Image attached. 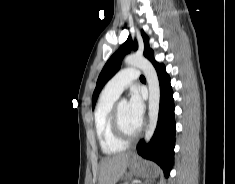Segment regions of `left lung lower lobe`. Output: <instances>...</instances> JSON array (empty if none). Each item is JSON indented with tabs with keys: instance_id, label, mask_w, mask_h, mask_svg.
Segmentation results:
<instances>
[{
	"instance_id": "left-lung-lower-lobe-1",
	"label": "left lung lower lobe",
	"mask_w": 235,
	"mask_h": 184,
	"mask_svg": "<svg viewBox=\"0 0 235 184\" xmlns=\"http://www.w3.org/2000/svg\"><path fill=\"white\" fill-rule=\"evenodd\" d=\"M150 61L157 71L160 84L159 116L152 139L148 144L141 140L137 146V152L142 157L156 162L163 169L165 177H168L174 163L176 131L173 91L165 66L157 63L154 57Z\"/></svg>"
}]
</instances>
